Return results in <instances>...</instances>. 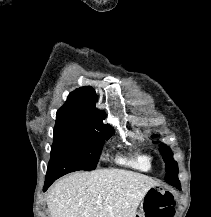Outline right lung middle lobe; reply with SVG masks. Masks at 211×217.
Instances as JSON below:
<instances>
[{"mask_svg": "<svg viewBox=\"0 0 211 217\" xmlns=\"http://www.w3.org/2000/svg\"><path fill=\"white\" fill-rule=\"evenodd\" d=\"M113 132L95 126L55 124L46 179L59 178L78 170H94L102 145Z\"/></svg>", "mask_w": 211, "mask_h": 217, "instance_id": "obj_1", "label": "right lung middle lobe"}]
</instances>
